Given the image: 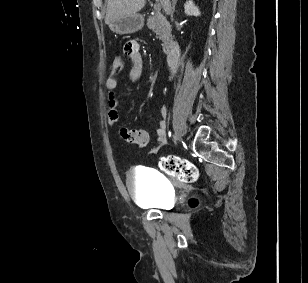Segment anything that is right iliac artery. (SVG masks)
Segmentation results:
<instances>
[{"instance_id":"1","label":"right iliac artery","mask_w":308,"mask_h":283,"mask_svg":"<svg viewBox=\"0 0 308 283\" xmlns=\"http://www.w3.org/2000/svg\"><path fill=\"white\" fill-rule=\"evenodd\" d=\"M169 137H171V132H169Z\"/></svg>"}]
</instances>
